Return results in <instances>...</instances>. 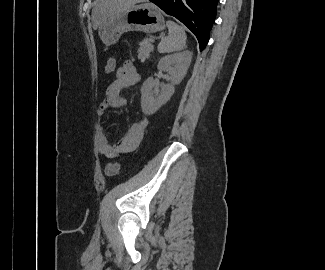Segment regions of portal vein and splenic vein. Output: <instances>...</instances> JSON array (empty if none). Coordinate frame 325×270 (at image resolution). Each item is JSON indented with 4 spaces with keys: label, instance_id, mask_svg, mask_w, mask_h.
I'll return each instance as SVG.
<instances>
[{
    "label": "portal vein and splenic vein",
    "instance_id": "obj_1",
    "mask_svg": "<svg viewBox=\"0 0 325 270\" xmlns=\"http://www.w3.org/2000/svg\"><path fill=\"white\" fill-rule=\"evenodd\" d=\"M151 42H154V39H151Z\"/></svg>",
    "mask_w": 325,
    "mask_h": 270
}]
</instances>
